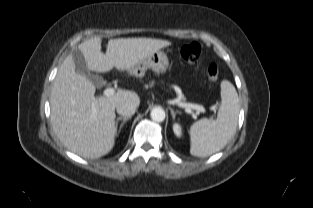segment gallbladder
Here are the masks:
<instances>
[{"instance_id": "gallbladder-1", "label": "gallbladder", "mask_w": 313, "mask_h": 208, "mask_svg": "<svg viewBox=\"0 0 313 208\" xmlns=\"http://www.w3.org/2000/svg\"><path fill=\"white\" fill-rule=\"evenodd\" d=\"M71 55L73 58V62L76 65L79 72L85 75L91 82L96 86L100 87L105 84L104 79L101 76L94 75L90 72L87 62L78 48H74L71 50Z\"/></svg>"}]
</instances>
